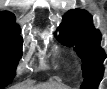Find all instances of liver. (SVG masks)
Returning <instances> with one entry per match:
<instances>
[{"mask_svg":"<svg viewBox=\"0 0 107 89\" xmlns=\"http://www.w3.org/2000/svg\"><path fill=\"white\" fill-rule=\"evenodd\" d=\"M14 89H64L63 86H53V85H50L48 83H44V84H40V85H37L35 86V88H31V87H20V86H16Z\"/></svg>","mask_w":107,"mask_h":89,"instance_id":"obj_1","label":"liver"}]
</instances>
